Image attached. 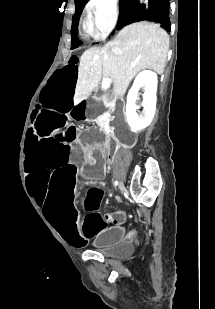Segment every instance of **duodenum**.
Returning <instances> with one entry per match:
<instances>
[{"label":"duodenum","instance_id":"1","mask_svg":"<svg viewBox=\"0 0 215 309\" xmlns=\"http://www.w3.org/2000/svg\"><path fill=\"white\" fill-rule=\"evenodd\" d=\"M100 126H101L109 135H113V134L115 133L110 120H107V119L102 120V121L100 122Z\"/></svg>","mask_w":215,"mask_h":309}]
</instances>
